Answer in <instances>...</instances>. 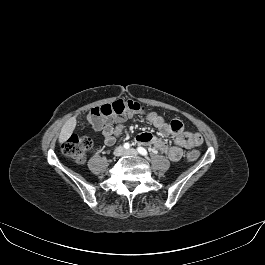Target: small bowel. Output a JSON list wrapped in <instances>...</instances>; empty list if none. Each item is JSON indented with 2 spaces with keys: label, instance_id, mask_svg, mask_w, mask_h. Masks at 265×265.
<instances>
[{
  "label": "small bowel",
  "instance_id": "c3829d8e",
  "mask_svg": "<svg viewBox=\"0 0 265 265\" xmlns=\"http://www.w3.org/2000/svg\"><path fill=\"white\" fill-rule=\"evenodd\" d=\"M126 119L127 115L111 118L102 125L96 127L97 130L102 132L104 142L107 146L114 145L117 137L124 129ZM146 120L152 124L162 136H172L173 140L168 142L149 132H143L136 137V141L166 154L171 161L180 160L184 149L197 147L202 144V136L197 132L184 131L183 123L178 119L166 121L156 112H149L146 115Z\"/></svg>",
  "mask_w": 265,
  "mask_h": 265
}]
</instances>
